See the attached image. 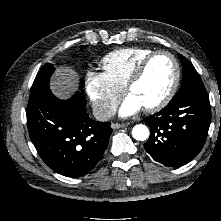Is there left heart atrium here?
Wrapping results in <instances>:
<instances>
[{"mask_svg":"<svg viewBox=\"0 0 221 221\" xmlns=\"http://www.w3.org/2000/svg\"><path fill=\"white\" fill-rule=\"evenodd\" d=\"M143 105L133 95L129 94L119 108V115L122 117H129L137 113Z\"/></svg>","mask_w":221,"mask_h":221,"instance_id":"left-heart-atrium-1","label":"left heart atrium"}]
</instances>
